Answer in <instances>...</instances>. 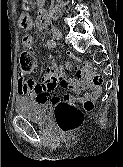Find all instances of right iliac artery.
<instances>
[{
  "mask_svg": "<svg viewBox=\"0 0 123 167\" xmlns=\"http://www.w3.org/2000/svg\"><path fill=\"white\" fill-rule=\"evenodd\" d=\"M47 45L49 48H54L56 47V42L53 39H51L47 41Z\"/></svg>",
  "mask_w": 123,
  "mask_h": 167,
  "instance_id": "right-iliac-artery-1",
  "label": "right iliac artery"
}]
</instances>
